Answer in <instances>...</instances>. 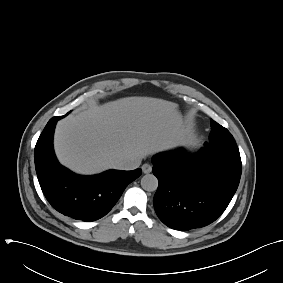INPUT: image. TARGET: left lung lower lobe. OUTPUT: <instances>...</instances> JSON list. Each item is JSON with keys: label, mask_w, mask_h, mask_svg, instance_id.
<instances>
[{"label": "left lung lower lobe", "mask_w": 283, "mask_h": 283, "mask_svg": "<svg viewBox=\"0 0 283 283\" xmlns=\"http://www.w3.org/2000/svg\"><path fill=\"white\" fill-rule=\"evenodd\" d=\"M152 161L159 182L156 214L168 227L183 231L209 225L224 212L242 171L240 154L208 145L192 157L178 149Z\"/></svg>", "instance_id": "obj_1"}]
</instances>
